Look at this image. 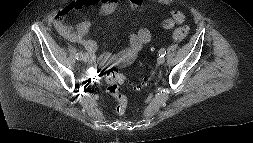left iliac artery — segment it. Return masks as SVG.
Returning <instances> with one entry per match:
<instances>
[{
	"label": "left iliac artery",
	"mask_w": 253,
	"mask_h": 143,
	"mask_svg": "<svg viewBox=\"0 0 253 143\" xmlns=\"http://www.w3.org/2000/svg\"><path fill=\"white\" fill-rule=\"evenodd\" d=\"M165 54H166V50H165L164 48L160 49V51H159V56H160V57H164Z\"/></svg>",
	"instance_id": "1"
}]
</instances>
